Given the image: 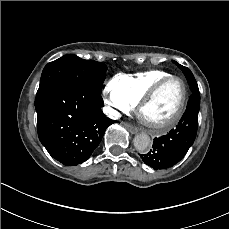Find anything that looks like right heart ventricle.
Segmentation results:
<instances>
[{
	"mask_svg": "<svg viewBox=\"0 0 229 229\" xmlns=\"http://www.w3.org/2000/svg\"><path fill=\"white\" fill-rule=\"evenodd\" d=\"M170 75H172L170 72L162 69H150L135 73H120L115 76L112 83L119 94L138 103L152 82L159 78L165 79Z\"/></svg>",
	"mask_w": 229,
	"mask_h": 229,
	"instance_id": "e07e8e85",
	"label": "right heart ventricle"
}]
</instances>
